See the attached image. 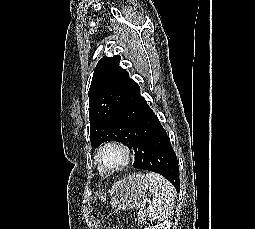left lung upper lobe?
Listing matches in <instances>:
<instances>
[{
    "mask_svg": "<svg viewBox=\"0 0 255 229\" xmlns=\"http://www.w3.org/2000/svg\"><path fill=\"white\" fill-rule=\"evenodd\" d=\"M120 56L103 57L96 65L89 96L90 140L98 147L105 141L130 145L131 141L121 129V118L116 113L129 92L133 80L119 67Z\"/></svg>",
    "mask_w": 255,
    "mask_h": 229,
    "instance_id": "1",
    "label": "left lung upper lobe"
}]
</instances>
